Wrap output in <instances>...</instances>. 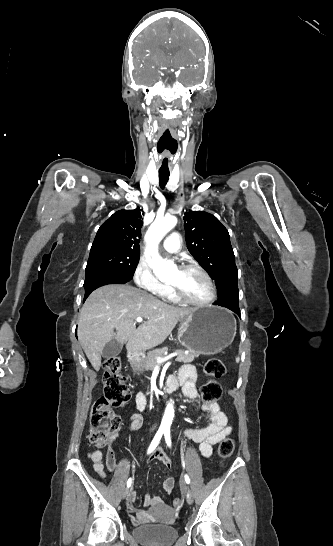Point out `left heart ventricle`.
I'll use <instances>...</instances> for the list:
<instances>
[{"mask_svg": "<svg viewBox=\"0 0 333 546\" xmlns=\"http://www.w3.org/2000/svg\"><path fill=\"white\" fill-rule=\"evenodd\" d=\"M189 299L203 301L210 297L211 291L205 278L195 270H177L171 280Z\"/></svg>", "mask_w": 333, "mask_h": 546, "instance_id": "left-heart-ventricle-1", "label": "left heart ventricle"}]
</instances>
